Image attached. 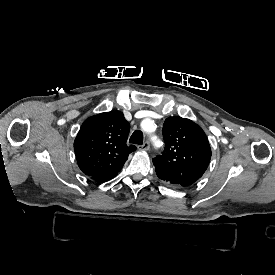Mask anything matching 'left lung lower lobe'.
I'll list each match as a JSON object with an SVG mask.
<instances>
[{"mask_svg":"<svg viewBox=\"0 0 275 275\" xmlns=\"http://www.w3.org/2000/svg\"><path fill=\"white\" fill-rule=\"evenodd\" d=\"M154 166H155V170H156V174H157L158 178L162 179L163 181L167 182L168 184H171L172 186L179 187V185L175 182V180L171 176L166 174L158 166H156V165H154Z\"/></svg>","mask_w":275,"mask_h":275,"instance_id":"0a47b994","label":"left lung lower lobe"}]
</instances>
